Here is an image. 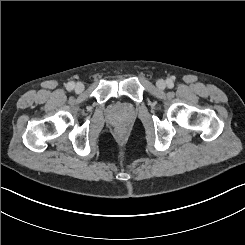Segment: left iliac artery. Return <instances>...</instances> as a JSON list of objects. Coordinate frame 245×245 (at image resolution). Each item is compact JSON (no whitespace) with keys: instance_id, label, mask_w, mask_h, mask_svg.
Instances as JSON below:
<instances>
[{"instance_id":"1","label":"left iliac artery","mask_w":245,"mask_h":245,"mask_svg":"<svg viewBox=\"0 0 245 245\" xmlns=\"http://www.w3.org/2000/svg\"><path fill=\"white\" fill-rule=\"evenodd\" d=\"M167 84H168V87L169 88H172L174 85H173V82L171 80H168L167 81Z\"/></svg>"}]
</instances>
